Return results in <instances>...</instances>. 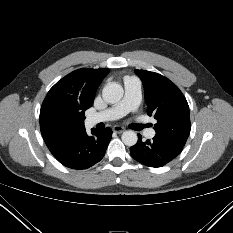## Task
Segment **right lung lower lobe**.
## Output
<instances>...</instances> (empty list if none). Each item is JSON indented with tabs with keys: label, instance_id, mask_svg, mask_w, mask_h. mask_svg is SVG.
Here are the masks:
<instances>
[{
	"label": "right lung lower lobe",
	"instance_id": "1",
	"mask_svg": "<svg viewBox=\"0 0 233 233\" xmlns=\"http://www.w3.org/2000/svg\"><path fill=\"white\" fill-rule=\"evenodd\" d=\"M88 136L86 130L79 132L69 140L50 150L53 156L64 166L71 169H87L99 162L107 149L112 137V130H91Z\"/></svg>",
	"mask_w": 233,
	"mask_h": 233
}]
</instances>
